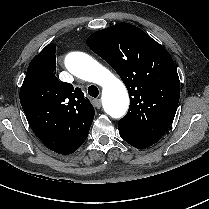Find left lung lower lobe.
Listing matches in <instances>:
<instances>
[{
	"label": "left lung lower lobe",
	"mask_w": 209,
	"mask_h": 209,
	"mask_svg": "<svg viewBox=\"0 0 209 209\" xmlns=\"http://www.w3.org/2000/svg\"><path fill=\"white\" fill-rule=\"evenodd\" d=\"M120 136L122 137L123 140H125L127 143H129L131 146L137 148V149H145L148 148L149 146L153 145L152 143L146 142L134 134L120 130Z\"/></svg>",
	"instance_id": "left-lung-lower-lobe-1"
}]
</instances>
